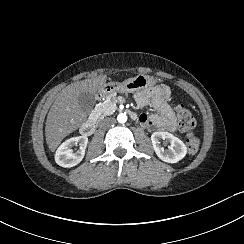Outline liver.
Listing matches in <instances>:
<instances>
[{
    "mask_svg": "<svg viewBox=\"0 0 244 244\" xmlns=\"http://www.w3.org/2000/svg\"><path fill=\"white\" fill-rule=\"evenodd\" d=\"M106 75L71 84L58 93L47 115L45 136L53 152L62 139L78 129L87 115L81 110L78 95L82 92L95 93L106 82Z\"/></svg>",
    "mask_w": 244,
    "mask_h": 244,
    "instance_id": "1",
    "label": "liver"
}]
</instances>
